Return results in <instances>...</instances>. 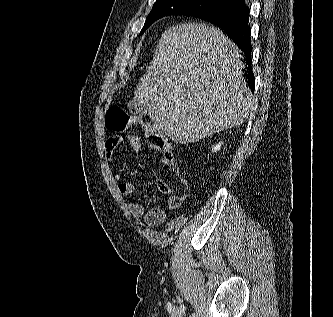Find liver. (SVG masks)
Returning a JSON list of instances; mask_svg holds the SVG:
<instances>
[{
	"mask_svg": "<svg viewBox=\"0 0 333 317\" xmlns=\"http://www.w3.org/2000/svg\"><path fill=\"white\" fill-rule=\"evenodd\" d=\"M239 52L218 28L175 25L162 34L133 100L180 144L239 126L255 106Z\"/></svg>",
	"mask_w": 333,
	"mask_h": 317,
	"instance_id": "1",
	"label": "liver"
}]
</instances>
